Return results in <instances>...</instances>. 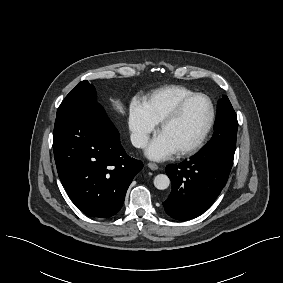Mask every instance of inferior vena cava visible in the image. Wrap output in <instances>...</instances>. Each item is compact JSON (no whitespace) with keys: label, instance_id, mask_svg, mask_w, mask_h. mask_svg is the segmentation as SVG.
Segmentation results:
<instances>
[{"label":"inferior vena cava","instance_id":"inferior-vena-cava-1","mask_svg":"<svg viewBox=\"0 0 283 283\" xmlns=\"http://www.w3.org/2000/svg\"><path fill=\"white\" fill-rule=\"evenodd\" d=\"M132 145L136 148H144L147 145L148 137L142 134H132L131 135Z\"/></svg>","mask_w":283,"mask_h":283}]
</instances>
